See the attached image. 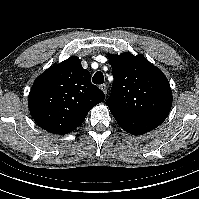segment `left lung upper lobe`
Returning a JSON list of instances; mask_svg holds the SVG:
<instances>
[{"label":"left lung upper lobe","mask_w":199,"mask_h":199,"mask_svg":"<svg viewBox=\"0 0 199 199\" xmlns=\"http://www.w3.org/2000/svg\"><path fill=\"white\" fill-rule=\"evenodd\" d=\"M114 81L106 101L118 125L134 135L158 127L172 106L166 76L144 56L109 55Z\"/></svg>","instance_id":"obj_1"}]
</instances>
